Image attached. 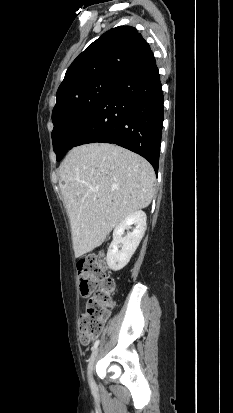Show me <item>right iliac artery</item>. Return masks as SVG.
Returning a JSON list of instances; mask_svg holds the SVG:
<instances>
[{
  "label": "right iliac artery",
  "mask_w": 233,
  "mask_h": 413,
  "mask_svg": "<svg viewBox=\"0 0 233 413\" xmlns=\"http://www.w3.org/2000/svg\"><path fill=\"white\" fill-rule=\"evenodd\" d=\"M98 345H99V340H97V341L94 343V345H93V347H92V351H94V350L98 347Z\"/></svg>",
  "instance_id": "1"
}]
</instances>
